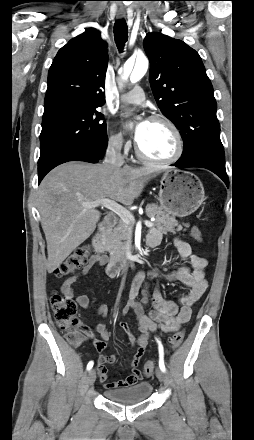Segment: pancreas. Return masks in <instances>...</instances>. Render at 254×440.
<instances>
[{
	"mask_svg": "<svg viewBox=\"0 0 254 440\" xmlns=\"http://www.w3.org/2000/svg\"><path fill=\"white\" fill-rule=\"evenodd\" d=\"M145 212L148 217L155 218L154 226L164 234L168 232L176 234V232L182 230V226L178 224V221L158 205L148 204ZM184 226L189 227V224H184ZM132 228L133 224H126L119 220L117 226L102 239L103 246L110 253L111 258L122 257L125 254L127 241L130 240L132 235Z\"/></svg>",
	"mask_w": 254,
	"mask_h": 440,
	"instance_id": "cf45deb5",
	"label": "pancreas"
}]
</instances>
